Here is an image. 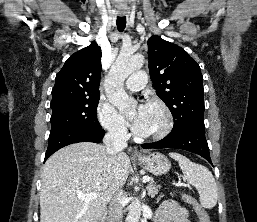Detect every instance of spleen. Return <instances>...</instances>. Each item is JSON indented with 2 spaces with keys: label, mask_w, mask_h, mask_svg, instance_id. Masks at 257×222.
<instances>
[{
  "label": "spleen",
  "mask_w": 257,
  "mask_h": 222,
  "mask_svg": "<svg viewBox=\"0 0 257 222\" xmlns=\"http://www.w3.org/2000/svg\"><path fill=\"white\" fill-rule=\"evenodd\" d=\"M169 156L178 161L184 178L199 193V200L202 207L211 209L217 204V184L212 173L203 165L190 161L179 153H169Z\"/></svg>",
  "instance_id": "spleen-1"
}]
</instances>
